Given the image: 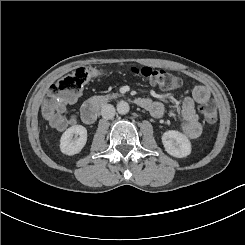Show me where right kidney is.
<instances>
[{"mask_svg":"<svg viewBox=\"0 0 245 245\" xmlns=\"http://www.w3.org/2000/svg\"><path fill=\"white\" fill-rule=\"evenodd\" d=\"M67 137V155L79 153L87 141V130L82 125H74L65 131Z\"/></svg>","mask_w":245,"mask_h":245,"instance_id":"right-kidney-1","label":"right kidney"}]
</instances>
